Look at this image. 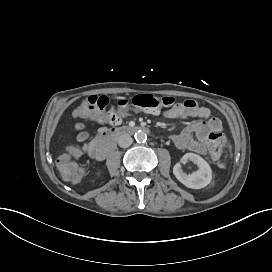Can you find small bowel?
I'll list each match as a JSON object with an SVG mask.
<instances>
[{"instance_id": "obj_1", "label": "small bowel", "mask_w": 272, "mask_h": 272, "mask_svg": "<svg viewBox=\"0 0 272 272\" xmlns=\"http://www.w3.org/2000/svg\"><path fill=\"white\" fill-rule=\"evenodd\" d=\"M163 115L168 119H185L189 117L201 119L188 124L180 133L172 137L174 146L182 151H192L200 155L209 153L208 135L212 132L221 134L223 130L222 122L218 118L210 116V109L199 105L192 99L173 104L163 111ZM79 128H82V126L80 125ZM76 139L79 143L76 148L80 150L81 154L96 159L95 151L98 140L89 141V134L85 130H81Z\"/></svg>"}]
</instances>
